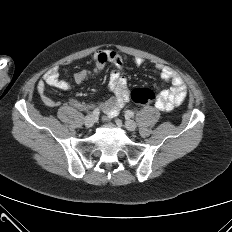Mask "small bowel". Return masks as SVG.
I'll return each instance as SVG.
<instances>
[{
    "mask_svg": "<svg viewBox=\"0 0 232 232\" xmlns=\"http://www.w3.org/2000/svg\"><path fill=\"white\" fill-rule=\"evenodd\" d=\"M92 61L93 67L91 69H83L74 74V83H83L93 74L102 70L107 64H112L115 69L110 73L109 88L113 92V96L99 103H87L71 99L70 105L80 111L99 109L105 113V120H107L117 115L129 101L128 80L123 74L125 64L121 56L113 50L98 51L94 54ZM135 64L140 67L143 65V60L136 58ZM155 70L165 81L170 82L172 85L170 89L164 90L159 94L155 105L161 111H171L183 103L187 95V87L182 77L173 69L157 64L155 65ZM47 85L63 91L72 88L69 82L59 78L57 67L49 69L43 76V79L38 82L37 91L43 103L50 108L56 107L58 102L47 95Z\"/></svg>",
    "mask_w": 232,
    "mask_h": 232,
    "instance_id": "c3829d8e",
    "label": "small bowel"
}]
</instances>
